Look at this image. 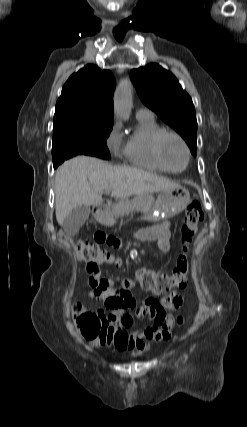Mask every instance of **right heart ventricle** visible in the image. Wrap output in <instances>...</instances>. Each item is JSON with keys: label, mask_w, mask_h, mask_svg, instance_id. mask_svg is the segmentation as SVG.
Here are the masks:
<instances>
[{"label": "right heart ventricle", "mask_w": 247, "mask_h": 427, "mask_svg": "<svg viewBox=\"0 0 247 427\" xmlns=\"http://www.w3.org/2000/svg\"><path fill=\"white\" fill-rule=\"evenodd\" d=\"M164 130L152 115L137 117V124L124 144L125 159L131 164L154 172H167L157 160L154 151L155 139Z\"/></svg>", "instance_id": "e07e8e85"}]
</instances>
